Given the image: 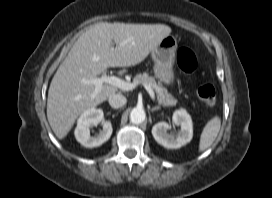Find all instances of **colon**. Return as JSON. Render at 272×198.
<instances>
[{
	"instance_id": "5ec220e1",
	"label": "colon",
	"mask_w": 272,
	"mask_h": 198,
	"mask_svg": "<svg viewBox=\"0 0 272 198\" xmlns=\"http://www.w3.org/2000/svg\"><path fill=\"white\" fill-rule=\"evenodd\" d=\"M177 64L183 72L192 74L198 68V59L190 48L181 47L177 52ZM197 95L199 100L207 106H214L216 103L217 93L212 85L199 87Z\"/></svg>"
}]
</instances>
